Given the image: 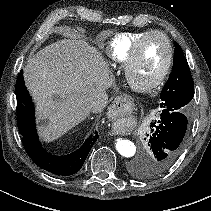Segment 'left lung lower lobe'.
<instances>
[{"label": "left lung lower lobe", "instance_id": "left-lung-lower-lobe-1", "mask_svg": "<svg viewBox=\"0 0 211 211\" xmlns=\"http://www.w3.org/2000/svg\"><path fill=\"white\" fill-rule=\"evenodd\" d=\"M189 116L181 111H164L151 123L147 134L148 153L153 164L152 174L169 167L179 156L185 140Z\"/></svg>", "mask_w": 211, "mask_h": 211}]
</instances>
